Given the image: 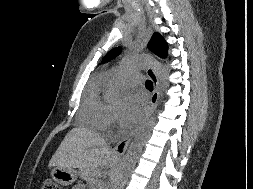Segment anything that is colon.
Listing matches in <instances>:
<instances>
[{"instance_id":"colon-1","label":"colon","mask_w":253,"mask_h":189,"mask_svg":"<svg viewBox=\"0 0 253 189\" xmlns=\"http://www.w3.org/2000/svg\"><path fill=\"white\" fill-rule=\"evenodd\" d=\"M42 189H61V188L55 181L47 178L43 182Z\"/></svg>"}]
</instances>
